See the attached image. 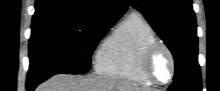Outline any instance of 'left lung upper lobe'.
I'll use <instances>...</instances> for the list:
<instances>
[{
	"mask_svg": "<svg viewBox=\"0 0 220 91\" xmlns=\"http://www.w3.org/2000/svg\"><path fill=\"white\" fill-rule=\"evenodd\" d=\"M171 50L174 82L169 91H201L198 37L191 0H129Z\"/></svg>",
	"mask_w": 220,
	"mask_h": 91,
	"instance_id": "left-lung-upper-lobe-1",
	"label": "left lung upper lobe"
}]
</instances>
